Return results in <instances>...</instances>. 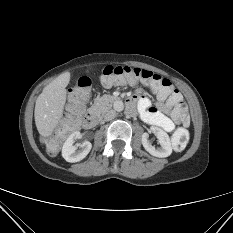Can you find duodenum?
Returning <instances> with one entry per match:
<instances>
[{"label": "duodenum", "instance_id": "duodenum-1", "mask_svg": "<svg viewBox=\"0 0 233 233\" xmlns=\"http://www.w3.org/2000/svg\"><path fill=\"white\" fill-rule=\"evenodd\" d=\"M128 111H132V102L129 100L127 104ZM98 114L95 111H89L84 119V126L86 128H93L98 122Z\"/></svg>", "mask_w": 233, "mask_h": 233}]
</instances>
